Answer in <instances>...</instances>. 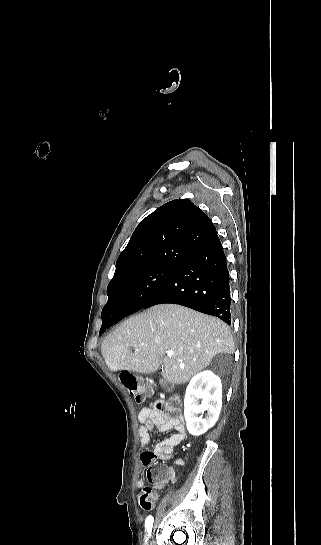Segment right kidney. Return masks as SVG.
<instances>
[{
	"instance_id": "obj_1",
	"label": "right kidney",
	"mask_w": 321,
	"mask_h": 545,
	"mask_svg": "<svg viewBox=\"0 0 321 545\" xmlns=\"http://www.w3.org/2000/svg\"><path fill=\"white\" fill-rule=\"evenodd\" d=\"M199 399H202L199 405ZM222 407V385L212 371H203L191 379L185 393L184 417L190 435L200 437L214 427ZM207 411L205 419L202 413Z\"/></svg>"
}]
</instances>
